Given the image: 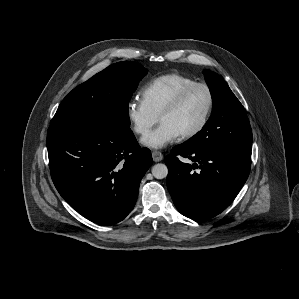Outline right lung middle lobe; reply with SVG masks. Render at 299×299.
<instances>
[{
	"label": "right lung middle lobe",
	"instance_id": "dd1d6c3e",
	"mask_svg": "<svg viewBox=\"0 0 299 299\" xmlns=\"http://www.w3.org/2000/svg\"><path fill=\"white\" fill-rule=\"evenodd\" d=\"M147 70L136 62H118L74 88L51 120L52 128L104 123L130 126L128 103Z\"/></svg>",
	"mask_w": 299,
	"mask_h": 299
}]
</instances>
